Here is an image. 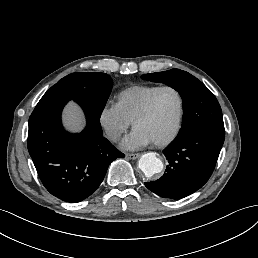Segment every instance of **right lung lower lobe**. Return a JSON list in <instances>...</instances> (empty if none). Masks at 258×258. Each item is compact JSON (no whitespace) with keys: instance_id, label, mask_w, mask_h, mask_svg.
<instances>
[{"instance_id":"obj_1","label":"right lung lower lobe","mask_w":258,"mask_h":258,"mask_svg":"<svg viewBox=\"0 0 258 258\" xmlns=\"http://www.w3.org/2000/svg\"><path fill=\"white\" fill-rule=\"evenodd\" d=\"M91 86L75 82L53 85L29 118L28 151L45 188L57 198L76 203L101 184L110 163L124 157L106 138L100 117L90 110ZM70 100L85 112L86 128L71 134L61 124V112Z\"/></svg>"}]
</instances>
